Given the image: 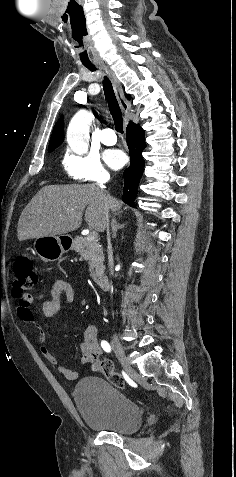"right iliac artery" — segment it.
I'll return each instance as SVG.
<instances>
[{"label":"right iliac artery","instance_id":"right-iliac-artery-1","mask_svg":"<svg viewBox=\"0 0 236 477\" xmlns=\"http://www.w3.org/2000/svg\"><path fill=\"white\" fill-rule=\"evenodd\" d=\"M101 347L103 348L104 351L111 352V346L107 341L102 340L101 341Z\"/></svg>","mask_w":236,"mask_h":477}]
</instances>
